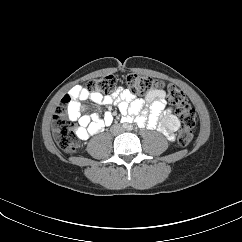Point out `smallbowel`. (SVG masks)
Segmentation results:
<instances>
[{
  "label": "small bowel",
  "instance_id": "obj_1",
  "mask_svg": "<svg viewBox=\"0 0 242 242\" xmlns=\"http://www.w3.org/2000/svg\"><path fill=\"white\" fill-rule=\"evenodd\" d=\"M72 100L65 104V110L70 119L77 123L76 135L81 140L101 132L105 126L113 121V113L106 112L103 117L97 112H89L88 102L99 105L115 104L123 114V119L150 129L156 127L168 140H174L175 132L180 123L173 115L172 109L167 106L165 92L162 89H154L147 94L145 101L135 99L128 91H122L111 96H102L97 92H89L85 88L74 87L70 93ZM148 104V110L141 113L144 103ZM162 123L158 125L159 119Z\"/></svg>",
  "mask_w": 242,
  "mask_h": 242
}]
</instances>
